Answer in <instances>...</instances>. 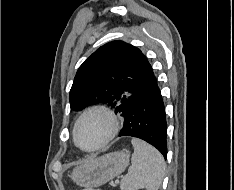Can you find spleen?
<instances>
[{
  "instance_id": "1",
  "label": "spleen",
  "mask_w": 234,
  "mask_h": 190,
  "mask_svg": "<svg viewBox=\"0 0 234 190\" xmlns=\"http://www.w3.org/2000/svg\"><path fill=\"white\" fill-rule=\"evenodd\" d=\"M134 153L131 166L123 177L121 190H158L165 176L166 164L162 154L143 140L133 138Z\"/></svg>"
}]
</instances>
